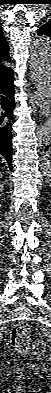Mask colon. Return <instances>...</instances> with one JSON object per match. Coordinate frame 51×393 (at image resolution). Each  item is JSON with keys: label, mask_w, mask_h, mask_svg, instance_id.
I'll return each mask as SVG.
<instances>
[{"label": "colon", "mask_w": 51, "mask_h": 393, "mask_svg": "<svg viewBox=\"0 0 51 393\" xmlns=\"http://www.w3.org/2000/svg\"><path fill=\"white\" fill-rule=\"evenodd\" d=\"M12 347L19 353L31 352L33 356H42L45 345L41 341L31 342L30 329L25 323H18L11 329Z\"/></svg>", "instance_id": "1"}]
</instances>
